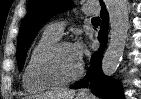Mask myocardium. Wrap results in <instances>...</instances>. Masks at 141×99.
Segmentation results:
<instances>
[{
    "instance_id": "obj_1",
    "label": "myocardium",
    "mask_w": 141,
    "mask_h": 99,
    "mask_svg": "<svg viewBox=\"0 0 141 99\" xmlns=\"http://www.w3.org/2000/svg\"><path fill=\"white\" fill-rule=\"evenodd\" d=\"M64 46H71L69 42L66 41H56L50 46H48L38 57L35 64V76L36 78L46 84L52 86H65L69 85L76 80H78L83 73V65L80 64L78 71L69 78H59L57 77L51 69L50 63L54 55L59 49Z\"/></svg>"
}]
</instances>
